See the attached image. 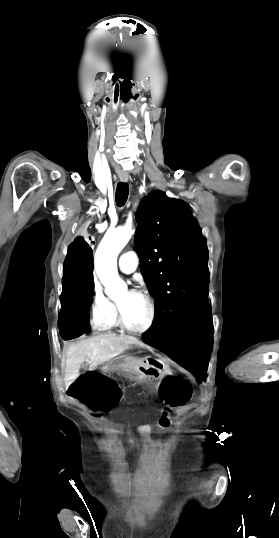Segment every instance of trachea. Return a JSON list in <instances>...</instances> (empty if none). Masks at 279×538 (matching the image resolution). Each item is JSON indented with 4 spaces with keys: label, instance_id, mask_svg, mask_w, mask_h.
<instances>
[{
    "label": "trachea",
    "instance_id": "1",
    "mask_svg": "<svg viewBox=\"0 0 279 538\" xmlns=\"http://www.w3.org/2000/svg\"><path fill=\"white\" fill-rule=\"evenodd\" d=\"M129 194V186L127 183L119 182L116 188V203L119 207H122L127 199Z\"/></svg>",
    "mask_w": 279,
    "mask_h": 538
}]
</instances>
